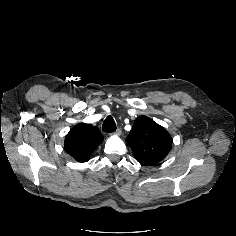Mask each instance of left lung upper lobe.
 Returning a JSON list of instances; mask_svg holds the SVG:
<instances>
[{
	"mask_svg": "<svg viewBox=\"0 0 236 236\" xmlns=\"http://www.w3.org/2000/svg\"><path fill=\"white\" fill-rule=\"evenodd\" d=\"M140 164L153 166L162 161L172 147V138L159 124L146 116L138 117L126 139Z\"/></svg>",
	"mask_w": 236,
	"mask_h": 236,
	"instance_id": "obj_1",
	"label": "left lung upper lobe"
}]
</instances>
